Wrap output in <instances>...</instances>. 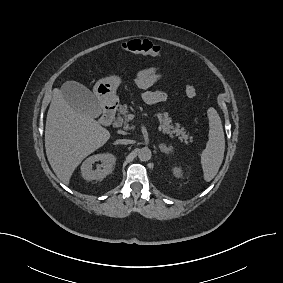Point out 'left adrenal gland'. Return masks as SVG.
<instances>
[{"label": "left adrenal gland", "mask_w": 283, "mask_h": 283, "mask_svg": "<svg viewBox=\"0 0 283 283\" xmlns=\"http://www.w3.org/2000/svg\"><path fill=\"white\" fill-rule=\"evenodd\" d=\"M159 148H160L161 152H163V153H166V154L172 153V147L171 146L167 147L165 144L161 143V144H159Z\"/></svg>", "instance_id": "a2214340"}]
</instances>
